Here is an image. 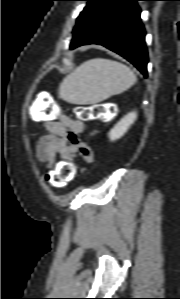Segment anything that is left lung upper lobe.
<instances>
[{
    "label": "left lung upper lobe",
    "instance_id": "obj_1",
    "mask_svg": "<svg viewBox=\"0 0 180 299\" xmlns=\"http://www.w3.org/2000/svg\"><path fill=\"white\" fill-rule=\"evenodd\" d=\"M84 1H88L86 7L84 8V10L81 12L80 16L78 17L77 19V23H76V26L73 30V33L74 31L76 30V28L78 27L79 23L81 22L83 16L85 15V13L87 12V10L91 7V5L96 1V0H84Z\"/></svg>",
    "mask_w": 180,
    "mask_h": 299
}]
</instances>
